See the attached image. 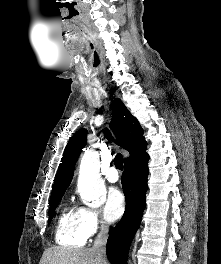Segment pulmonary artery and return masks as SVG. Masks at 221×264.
<instances>
[{"label": "pulmonary artery", "instance_id": "1", "mask_svg": "<svg viewBox=\"0 0 221 264\" xmlns=\"http://www.w3.org/2000/svg\"><path fill=\"white\" fill-rule=\"evenodd\" d=\"M105 177L109 182H117L119 179L118 171L114 166H110L105 173Z\"/></svg>", "mask_w": 221, "mask_h": 264}]
</instances>
